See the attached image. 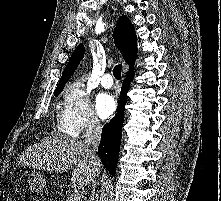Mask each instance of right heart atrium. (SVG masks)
<instances>
[{"mask_svg": "<svg viewBox=\"0 0 221 201\" xmlns=\"http://www.w3.org/2000/svg\"><path fill=\"white\" fill-rule=\"evenodd\" d=\"M99 125V119L84 85L80 82L68 85L60 115L62 131L77 136L82 132L97 129Z\"/></svg>", "mask_w": 221, "mask_h": 201, "instance_id": "obj_1", "label": "right heart atrium"}]
</instances>
